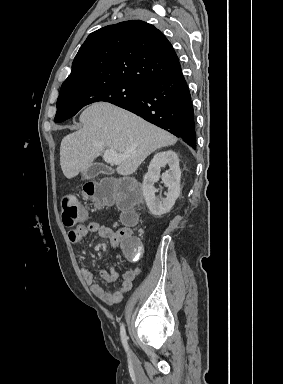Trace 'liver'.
I'll return each instance as SVG.
<instances>
[{"label":"liver","mask_w":283,"mask_h":384,"mask_svg":"<svg viewBox=\"0 0 283 384\" xmlns=\"http://www.w3.org/2000/svg\"><path fill=\"white\" fill-rule=\"evenodd\" d=\"M79 122L83 128L65 136L60 146V166L68 180L90 168L105 150L127 156L116 172L130 176L152 152L177 142L169 132L107 102L91 104L82 112Z\"/></svg>","instance_id":"6515ba94"}]
</instances>
